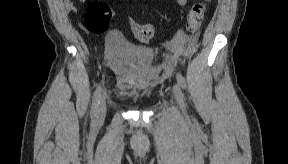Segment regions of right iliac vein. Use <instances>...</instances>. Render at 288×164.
<instances>
[{"label": "right iliac vein", "instance_id": "obj_1", "mask_svg": "<svg viewBox=\"0 0 288 164\" xmlns=\"http://www.w3.org/2000/svg\"><path fill=\"white\" fill-rule=\"evenodd\" d=\"M106 116V101L105 97L102 96L98 105V110H97V121H103Z\"/></svg>", "mask_w": 288, "mask_h": 164}]
</instances>
